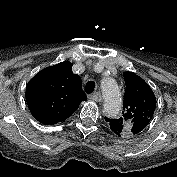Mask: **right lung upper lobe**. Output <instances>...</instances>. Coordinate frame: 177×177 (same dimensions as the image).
<instances>
[{
	"label": "right lung upper lobe",
	"instance_id": "obj_1",
	"mask_svg": "<svg viewBox=\"0 0 177 177\" xmlns=\"http://www.w3.org/2000/svg\"><path fill=\"white\" fill-rule=\"evenodd\" d=\"M64 61L37 73L27 84L26 101L33 117L51 125L66 120L87 100L81 78Z\"/></svg>",
	"mask_w": 177,
	"mask_h": 177
}]
</instances>
